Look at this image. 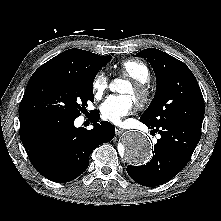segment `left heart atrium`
<instances>
[{
  "mask_svg": "<svg viewBox=\"0 0 221 221\" xmlns=\"http://www.w3.org/2000/svg\"><path fill=\"white\" fill-rule=\"evenodd\" d=\"M133 110V101L128 95L109 96L100 106V113L104 120L114 124H121L122 119Z\"/></svg>",
  "mask_w": 221,
  "mask_h": 221,
  "instance_id": "obj_1",
  "label": "left heart atrium"
}]
</instances>
